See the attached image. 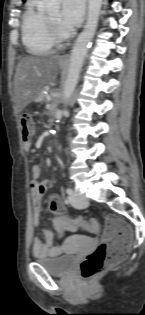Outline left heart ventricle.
I'll return each mask as SVG.
<instances>
[{"label": "left heart ventricle", "mask_w": 145, "mask_h": 315, "mask_svg": "<svg viewBox=\"0 0 145 315\" xmlns=\"http://www.w3.org/2000/svg\"><path fill=\"white\" fill-rule=\"evenodd\" d=\"M48 16L55 24H57L60 28H62L61 23H60V12H59V10H55V11L49 13Z\"/></svg>", "instance_id": "obj_1"}]
</instances>
